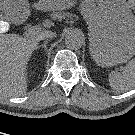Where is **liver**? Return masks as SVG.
Instances as JSON below:
<instances>
[{"label": "liver", "instance_id": "obj_1", "mask_svg": "<svg viewBox=\"0 0 135 135\" xmlns=\"http://www.w3.org/2000/svg\"><path fill=\"white\" fill-rule=\"evenodd\" d=\"M4 27L0 21V96L19 97L27 91V64L41 32L22 37L4 33Z\"/></svg>", "mask_w": 135, "mask_h": 135}]
</instances>
